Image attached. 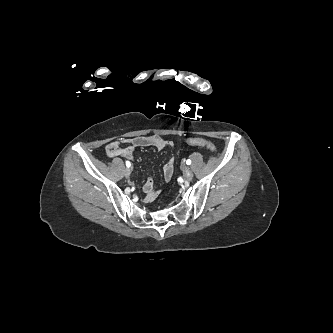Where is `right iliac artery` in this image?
I'll list each match as a JSON object with an SVG mask.
<instances>
[{
    "mask_svg": "<svg viewBox=\"0 0 333 333\" xmlns=\"http://www.w3.org/2000/svg\"><path fill=\"white\" fill-rule=\"evenodd\" d=\"M126 166L129 168L131 166V163L129 161H126Z\"/></svg>",
    "mask_w": 333,
    "mask_h": 333,
    "instance_id": "82829eb1",
    "label": "right iliac artery"
}]
</instances>
